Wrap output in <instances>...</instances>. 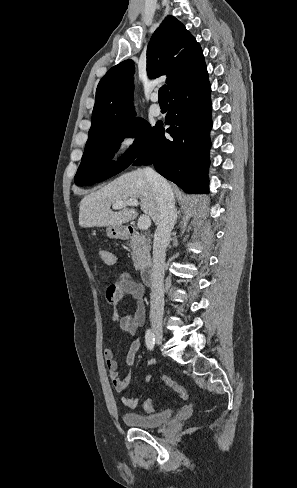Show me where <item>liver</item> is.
<instances>
[{
    "label": "liver",
    "instance_id": "obj_1",
    "mask_svg": "<svg viewBox=\"0 0 297 488\" xmlns=\"http://www.w3.org/2000/svg\"><path fill=\"white\" fill-rule=\"evenodd\" d=\"M128 199H139L141 210L155 224L160 220V201L157 192L144 171L137 169L125 173L96 192L84 196L79 207V225L84 228L121 226L133 220L137 212L123 207L113 212L111 205Z\"/></svg>",
    "mask_w": 297,
    "mask_h": 488
}]
</instances>
